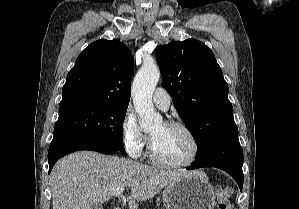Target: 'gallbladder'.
Returning <instances> with one entry per match:
<instances>
[{
    "mask_svg": "<svg viewBox=\"0 0 299 209\" xmlns=\"http://www.w3.org/2000/svg\"><path fill=\"white\" fill-rule=\"evenodd\" d=\"M90 209H102L99 204H93Z\"/></svg>",
    "mask_w": 299,
    "mask_h": 209,
    "instance_id": "gallbladder-1",
    "label": "gallbladder"
}]
</instances>
